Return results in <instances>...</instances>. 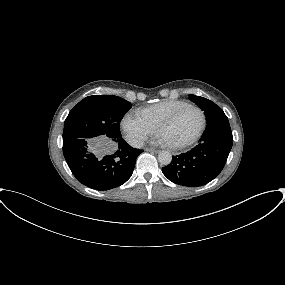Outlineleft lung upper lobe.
<instances>
[{
  "label": "left lung upper lobe",
  "mask_w": 285,
  "mask_h": 285,
  "mask_svg": "<svg viewBox=\"0 0 285 285\" xmlns=\"http://www.w3.org/2000/svg\"><path fill=\"white\" fill-rule=\"evenodd\" d=\"M189 99L204 111L207 123L215 119L227 118L223 110L214 102L196 95H189Z\"/></svg>",
  "instance_id": "5c2ea615"
}]
</instances>
